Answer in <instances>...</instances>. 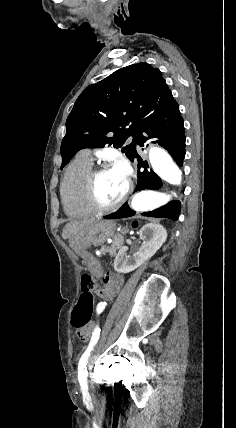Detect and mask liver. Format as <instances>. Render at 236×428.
<instances>
[{"label": "liver", "instance_id": "6515ba94", "mask_svg": "<svg viewBox=\"0 0 236 428\" xmlns=\"http://www.w3.org/2000/svg\"><path fill=\"white\" fill-rule=\"evenodd\" d=\"M95 220H81V222H69L66 224L65 228L62 230V238L63 240H67V238H77L78 234L84 230L85 226H89V224H93Z\"/></svg>", "mask_w": 236, "mask_h": 428}]
</instances>
